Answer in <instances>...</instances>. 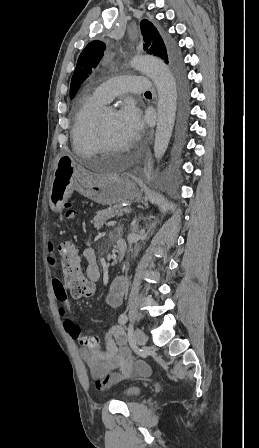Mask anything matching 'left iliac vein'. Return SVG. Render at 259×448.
Here are the masks:
<instances>
[{
  "instance_id": "left-iliac-vein-1",
  "label": "left iliac vein",
  "mask_w": 259,
  "mask_h": 448,
  "mask_svg": "<svg viewBox=\"0 0 259 448\" xmlns=\"http://www.w3.org/2000/svg\"><path fill=\"white\" fill-rule=\"evenodd\" d=\"M147 341V336L141 329H136L134 332V342L135 345L140 348L142 347Z\"/></svg>"
}]
</instances>
